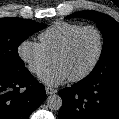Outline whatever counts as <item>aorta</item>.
<instances>
[{"label":"aorta","mask_w":119,"mask_h":119,"mask_svg":"<svg viewBox=\"0 0 119 119\" xmlns=\"http://www.w3.org/2000/svg\"><path fill=\"white\" fill-rule=\"evenodd\" d=\"M46 104L50 110H59L62 106V99L59 95L53 94L47 97Z\"/></svg>","instance_id":"1"}]
</instances>
